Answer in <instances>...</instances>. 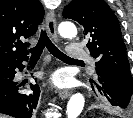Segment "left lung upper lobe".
<instances>
[{
  "instance_id": "1",
  "label": "left lung upper lobe",
  "mask_w": 133,
  "mask_h": 118,
  "mask_svg": "<svg viewBox=\"0 0 133 118\" xmlns=\"http://www.w3.org/2000/svg\"><path fill=\"white\" fill-rule=\"evenodd\" d=\"M63 17L77 21L84 28L87 47L96 59V70L133 92V78L122 41L119 21L104 0H72Z\"/></svg>"
}]
</instances>
